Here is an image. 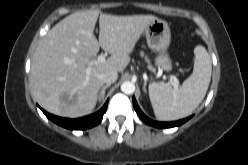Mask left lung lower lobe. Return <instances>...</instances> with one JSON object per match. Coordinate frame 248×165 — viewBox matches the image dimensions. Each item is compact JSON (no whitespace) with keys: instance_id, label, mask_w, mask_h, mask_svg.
<instances>
[{"instance_id":"1","label":"left lung lower lobe","mask_w":248,"mask_h":165,"mask_svg":"<svg viewBox=\"0 0 248 165\" xmlns=\"http://www.w3.org/2000/svg\"><path fill=\"white\" fill-rule=\"evenodd\" d=\"M133 105H134V108L138 116L143 122H145L148 125L157 127V128H171V127L179 126L191 118V117H188L186 119H182V120L175 121V122H156V121L149 119L147 116L144 115V113L140 110L134 97H133Z\"/></svg>"}]
</instances>
